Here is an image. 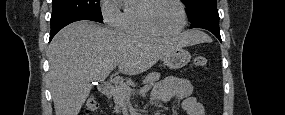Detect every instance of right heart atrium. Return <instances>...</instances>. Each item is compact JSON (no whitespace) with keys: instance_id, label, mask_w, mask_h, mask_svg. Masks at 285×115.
I'll list each match as a JSON object with an SVG mask.
<instances>
[{"instance_id":"1","label":"right heart atrium","mask_w":285,"mask_h":115,"mask_svg":"<svg viewBox=\"0 0 285 115\" xmlns=\"http://www.w3.org/2000/svg\"><path fill=\"white\" fill-rule=\"evenodd\" d=\"M102 16L104 21L112 27H118L121 11L114 0H104L102 2Z\"/></svg>"}]
</instances>
